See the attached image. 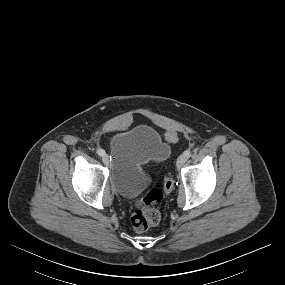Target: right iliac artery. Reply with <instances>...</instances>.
I'll return each mask as SVG.
<instances>
[{
	"label": "right iliac artery",
	"instance_id": "82829eb1",
	"mask_svg": "<svg viewBox=\"0 0 285 285\" xmlns=\"http://www.w3.org/2000/svg\"><path fill=\"white\" fill-rule=\"evenodd\" d=\"M97 154H98L99 156H103V155L105 154V151H104L103 149L99 148V149L97 150Z\"/></svg>",
	"mask_w": 285,
	"mask_h": 285
}]
</instances>
